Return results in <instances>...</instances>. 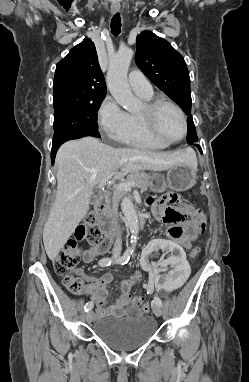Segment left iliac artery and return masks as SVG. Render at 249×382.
Masks as SVG:
<instances>
[{"mask_svg": "<svg viewBox=\"0 0 249 382\" xmlns=\"http://www.w3.org/2000/svg\"><path fill=\"white\" fill-rule=\"evenodd\" d=\"M148 290H149V291H152L151 288H149ZM153 302H154L155 304L159 305L160 307L162 306V301H161V299H160L158 296H155V297H154Z\"/></svg>", "mask_w": 249, "mask_h": 382, "instance_id": "44dca946", "label": "left iliac artery"}]
</instances>
